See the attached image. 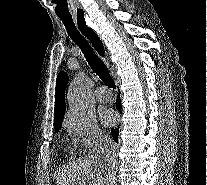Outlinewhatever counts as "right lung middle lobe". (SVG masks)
<instances>
[{"label": "right lung middle lobe", "mask_w": 207, "mask_h": 185, "mask_svg": "<svg viewBox=\"0 0 207 185\" xmlns=\"http://www.w3.org/2000/svg\"><path fill=\"white\" fill-rule=\"evenodd\" d=\"M59 129H60V127L59 128H56L55 130H56V132H58L59 131Z\"/></svg>", "instance_id": "dd1d6c3e"}]
</instances>
